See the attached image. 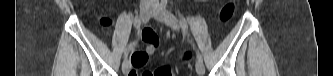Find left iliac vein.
Masks as SVG:
<instances>
[{"label":"left iliac vein","mask_w":333,"mask_h":76,"mask_svg":"<svg viewBox=\"0 0 333 76\" xmlns=\"http://www.w3.org/2000/svg\"><path fill=\"white\" fill-rule=\"evenodd\" d=\"M152 16L167 24L169 27H171L173 30L179 29V24L177 18L169 11H167L164 7H161L157 4L153 5V9L151 12ZM196 72L198 75L202 76L205 73V67L203 64V61H197L196 62Z\"/></svg>","instance_id":"4c4485c4"}]
</instances>
